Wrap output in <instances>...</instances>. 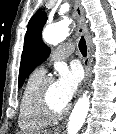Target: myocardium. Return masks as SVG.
Wrapping results in <instances>:
<instances>
[{
	"label": "myocardium",
	"instance_id": "obj_1",
	"mask_svg": "<svg viewBox=\"0 0 116 134\" xmlns=\"http://www.w3.org/2000/svg\"><path fill=\"white\" fill-rule=\"evenodd\" d=\"M53 82L54 79L52 77H45L34 91L32 97V103L35 111L49 120L60 119L68 112V106H65L62 109H55L50 103L49 88Z\"/></svg>",
	"mask_w": 116,
	"mask_h": 134
}]
</instances>
